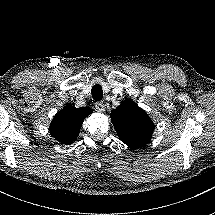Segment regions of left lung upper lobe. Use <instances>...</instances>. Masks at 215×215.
I'll return each mask as SVG.
<instances>
[{
	"label": "left lung upper lobe",
	"mask_w": 215,
	"mask_h": 215,
	"mask_svg": "<svg viewBox=\"0 0 215 215\" xmlns=\"http://www.w3.org/2000/svg\"><path fill=\"white\" fill-rule=\"evenodd\" d=\"M111 120L120 140L134 149L148 144L155 128L147 113L131 100L112 110Z\"/></svg>",
	"instance_id": "obj_1"
}]
</instances>
